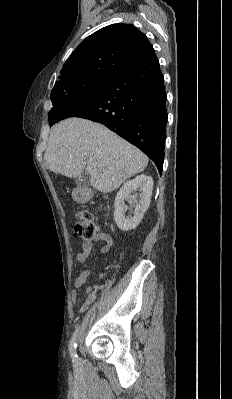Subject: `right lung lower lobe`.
Segmentation results:
<instances>
[{
	"instance_id": "right-lung-lower-lobe-1",
	"label": "right lung lower lobe",
	"mask_w": 232,
	"mask_h": 399,
	"mask_svg": "<svg viewBox=\"0 0 232 399\" xmlns=\"http://www.w3.org/2000/svg\"><path fill=\"white\" fill-rule=\"evenodd\" d=\"M164 77L154 53L118 72L95 94L67 105L55 123L80 117L104 124L142 150L162 172L167 123Z\"/></svg>"
}]
</instances>
